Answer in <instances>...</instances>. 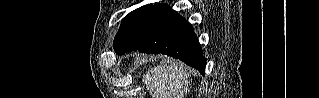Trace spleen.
I'll list each match as a JSON object with an SVG mask.
<instances>
[{"instance_id": "obj_1", "label": "spleen", "mask_w": 319, "mask_h": 98, "mask_svg": "<svg viewBox=\"0 0 319 98\" xmlns=\"http://www.w3.org/2000/svg\"><path fill=\"white\" fill-rule=\"evenodd\" d=\"M143 82L152 98H183L190 83L186 69L172 61L148 70Z\"/></svg>"}]
</instances>
